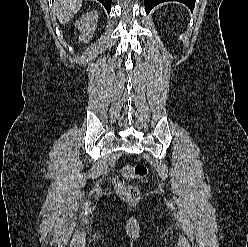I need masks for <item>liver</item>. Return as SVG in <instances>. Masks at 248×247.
<instances>
[{
    "label": "liver",
    "instance_id": "6515ba94",
    "mask_svg": "<svg viewBox=\"0 0 248 247\" xmlns=\"http://www.w3.org/2000/svg\"><path fill=\"white\" fill-rule=\"evenodd\" d=\"M83 0H55L54 9L61 24L67 23L80 10Z\"/></svg>",
    "mask_w": 248,
    "mask_h": 247
}]
</instances>
